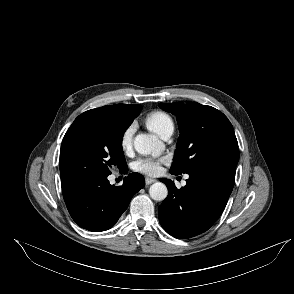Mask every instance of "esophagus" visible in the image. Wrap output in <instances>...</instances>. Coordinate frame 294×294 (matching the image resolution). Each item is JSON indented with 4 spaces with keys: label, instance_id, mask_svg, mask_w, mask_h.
<instances>
[{
    "label": "esophagus",
    "instance_id": "esophagus-1",
    "mask_svg": "<svg viewBox=\"0 0 294 294\" xmlns=\"http://www.w3.org/2000/svg\"><path fill=\"white\" fill-rule=\"evenodd\" d=\"M155 181H156L155 179L149 178V177H147L145 179L146 185H150V184L154 183Z\"/></svg>",
    "mask_w": 294,
    "mask_h": 294
}]
</instances>
